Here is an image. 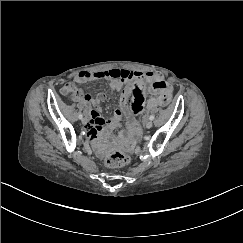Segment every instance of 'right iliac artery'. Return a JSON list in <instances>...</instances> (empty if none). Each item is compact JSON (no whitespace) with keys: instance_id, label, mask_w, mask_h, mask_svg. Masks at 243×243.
<instances>
[{"instance_id":"1","label":"right iliac artery","mask_w":243,"mask_h":243,"mask_svg":"<svg viewBox=\"0 0 243 243\" xmlns=\"http://www.w3.org/2000/svg\"><path fill=\"white\" fill-rule=\"evenodd\" d=\"M82 117H83V115H82V113H80L79 116H78V118L79 119H82Z\"/></svg>"}]
</instances>
